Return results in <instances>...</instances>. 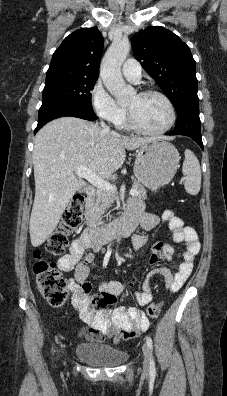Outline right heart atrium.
<instances>
[{"label":"right heart atrium","instance_id":"d8ad5b80","mask_svg":"<svg viewBox=\"0 0 227 396\" xmlns=\"http://www.w3.org/2000/svg\"><path fill=\"white\" fill-rule=\"evenodd\" d=\"M91 104L98 117L112 124H117L125 115V109L115 102L100 82L95 83L91 90Z\"/></svg>","mask_w":227,"mask_h":396}]
</instances>
